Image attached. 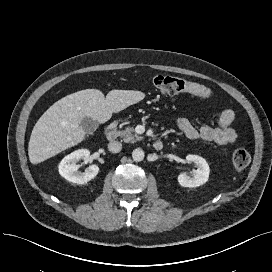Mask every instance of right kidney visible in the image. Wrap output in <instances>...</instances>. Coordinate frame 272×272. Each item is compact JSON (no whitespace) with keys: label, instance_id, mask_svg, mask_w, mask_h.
Here are the masks:
<instances>
[{"label":"right kidney","instance_id":"ca27d5eb","mask_svg":"<svg viewBox=\"0 0 272 272\" xmlns=\"http://www.w3.org/2000/svg\"><path fill=\"white\" fill-rule=\"evenodd\" d=\"M89 156L90 151L87 149H79L65 156L58 166L59 174L69 182L76 184H84L94 179L99 172L96 164L90 165L83 173L78 171L77 162L80 159L86 160Z\"/></svg>","mask_w":272,"mask_h":272}]
</instances>
